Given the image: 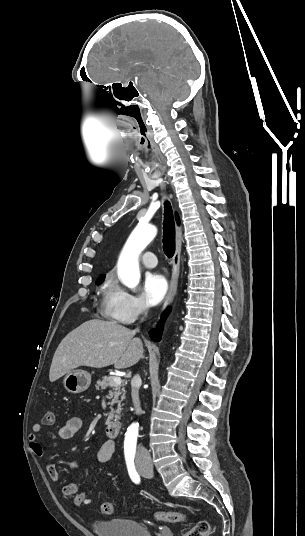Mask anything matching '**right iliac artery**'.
<instances>
[{
    "label": "right iliac artery",
    "mask_w": 305,
    "mask_h": 536,
    "mask_svg": "<svg viewBox=\"0 0 305 536\" xmlns=\"http://www.w3.org/2000/svg\"><path fill=\"white\" fill-rule=\"evenodd\" d=\"M125 460H126L127 469H128V473H129L131 480L134 483L138 484L140 482V477L135 469L134 458H130L126 456Z\"/></svg>",
    "instance_id": "right-iliac-artery-1"
}]
</instances>
